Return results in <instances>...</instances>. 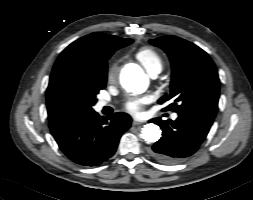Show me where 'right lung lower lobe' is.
I'll use <instances>...</instances> for the list:
<instances>
[{"instance_id": "right-lung-lower-lobe-1", "label": "right lung lower lobe", "mask_w": 253, "mask_h": 200, "mask_svg": "<svg viewBox=\"0 0 253 200\" xmlns=\"http://www.w3.org/2000/svg\"><path fill=\"white\" fill-rule=\"evenodd\" d=\"M130 125L131 117L126 113L104 118L94 110L49 120L51 133L62 152L84 166H97L108 160Z\"/></svg>"}]
</instances>
